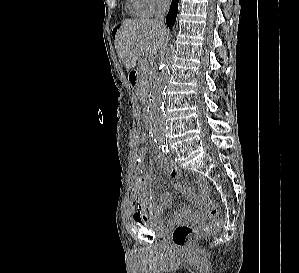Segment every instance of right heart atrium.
Listing matches in <instances>:
<instances>
[{
  "mask_svg": "<svg viewBox=\"0 0 299 273\" xmlns=\"http://www.w3.org/2000/svg\"><path fill=\"white\" fill-rule=\"evenodd\" d=\"M144 10L151 14L161 6H163L166 0H138Z\"/></svg>",
  "mask_w": 299,
  "mask_h": 273,
  "instance_id": "obj_1",
  "label": "right heart atrium"
}]
</instances>
